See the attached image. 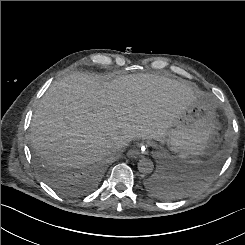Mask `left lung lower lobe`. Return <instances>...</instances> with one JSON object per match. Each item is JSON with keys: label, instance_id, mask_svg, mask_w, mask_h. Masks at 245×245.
I'll return each instance as SVG.
<instances>
[{"label": "left lung lower lobe", "instance_id": "0a47b994", "mask_svg": "<svg viewBox=\"0 0 245 245\" xmlns=\"http://www.w3.org/2000/svg\"><path fill=\"white\" fill-rule=\"evenodd\" d=\"M168 177L166 173L153 175L145 180L144 186L148 192L158 198H169L180 190Z\"/></svg>", "mask_w": 245, "mask_h": 245}]
</instances>
